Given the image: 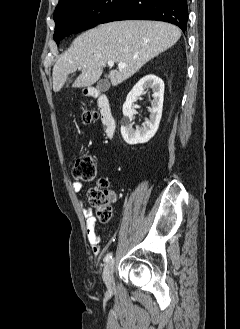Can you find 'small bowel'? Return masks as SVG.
Here are the masks:
<instances>
[{"instance_id":"1","label":"small bowel","mask_w":240,"mask_h":329,"mask_svg":"<svg viewBox=\"0 0 240 329\" xmlns=\"http://www.w3.org/2000/svg\"><path fill=\"white\" fill-rule=\"evenodd\" d=\"M72 189L74 192L79 193L83 189V185L78 182H74L72 184ZM83 214L85 216L86 221V234L91 246L92 251L95 254L101 252V244H100V237L96 231V220L92 214V211L86 206L85 201L83 199H79Z\"/></svg>"}]
</instances>
